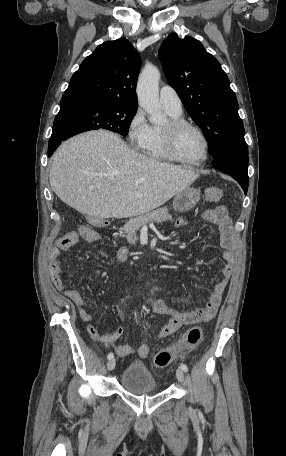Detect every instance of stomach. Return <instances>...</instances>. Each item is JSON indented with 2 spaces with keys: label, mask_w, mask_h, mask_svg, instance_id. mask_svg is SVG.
<instances>
[{
  "label": "stomach",
  "mask_w": 286,
  "mask_h": 456,
  "mask_svg": "<svg viewBox=\"0 0 286 456\" xmlns=\"http://www.w3.org/2000/svg\"><path fill=\"white\" fill-rule=\"evenodd\" d=\"M199 199V190L188 187L180 193L176 194L173 200V207L179 212H187L198 203Z\"/></svg>",
  "instance_id": "stomach-1"
}]
</instances>
